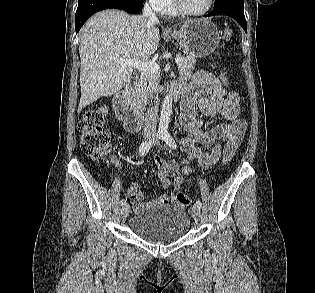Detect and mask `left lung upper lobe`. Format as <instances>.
<instances>
[{
  "instance_id": "left-lung-upper-lobe-1",
  "label": "left lung upper lobe",
  "mask_w": 315,
  "mask_h": 293,
  "mask_svg": "<svg viewBox=\"0 0 315 293\" xmlns=\"http://www.w3.org/2000/svg\"><path fill=\"white\" fill-rule=\"evenodd\" d=\"M224 7L244 8V0H215L213 10H218Z\"/></svg>"
}]
</instances>
